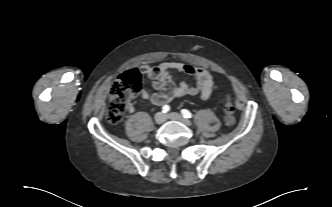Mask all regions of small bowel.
I'll return each mask as SVG.
<instances>
[{"label": "small bowel", "instance_id": "1", "mask_svg": "<svg viewBox=\"0 0 332 207\" xmlns=\"http://www.w3.org/2000/svg\"><path fill=\"white\" fill-rule=\"evenodd\" d=\"M140 72L152 80L155 92L142 91L141 97L154 105L162 106L174 98L196 96L206 100L213 95L216 84L211 73L204 67L181 62L161 63L158 66L143 65ZM174 73L193 76L195 84L177 83Z\"/></svg>", "mask_w": 332, "mask_h": 207}]
</instances>
